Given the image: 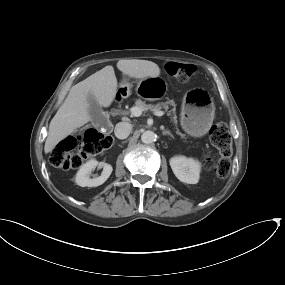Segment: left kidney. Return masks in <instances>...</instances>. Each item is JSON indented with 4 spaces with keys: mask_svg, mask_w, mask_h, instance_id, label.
Listing matches in <instances>:
<instances>
[{
    "mask_svg": "<svg viewBox=\"0 0 285 285\" xmlns=\"http://www.w3.org/2000/svg\"><path fill=\"white\" fill-rule=\"evenodd\" d=\"M169 163L173 173L181 182L198 183L201 170V164L198 160L185 156H174Z\"/></svg>",
    "mask_w": 285,
    "mask_h": 285,
    "instance_id": "left-kidney-1",
    "label": "left kidney"
}]
</instances>
